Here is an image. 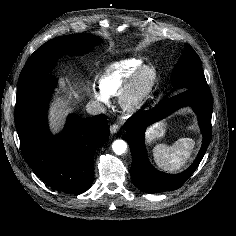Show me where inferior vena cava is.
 Listing matches in <instances>:
<instances>
[{"mask_svg":"<svg viewBox=\"0 0 236 236\" xmlns=\"http://www.w3.org/2000/svg\"><path fill=\"white\" fill-rule=\"evenodd\" d=\"M86 111L90 115H98L106 112L105 106L99 101H89L86 105Z\"/></svg>","mask_w":236,"mask_h":236,"instance_id":"1","label":"inferior vena cava"}]
</instances>
